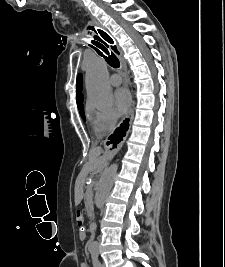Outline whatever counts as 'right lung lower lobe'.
Returning a JSON list of instances; mask_svg holds the SVG:
<instances>
[{"instance_id": "98d812e1", "label": "right lung lower lobe", "mask_w": 225, "mask_h": 267, "mask_svg": "<svg viewBox=\"0 0 225 267\" xmlns=\"http://www.w3.org/2000/svg\"><path fill=\"white\" fill-rule=\"evenodd\" d=\"M120 128H118L115 133L113 135H111L109 138L111 139V143H113V145H116L117 144V141H118V133H119V130Z\"/></svg>"}]
</instances>
